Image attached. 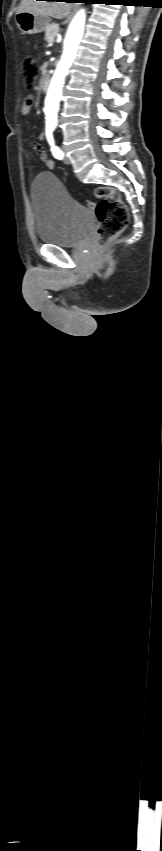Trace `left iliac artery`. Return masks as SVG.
<instances>
[{
  "mask_svg": "<svg viewBox=\"0 0 162 851\" xmlns=\"http://www.w3.org/2000/svg\"><path fill=\"white\" fill-rule=\"evenodd\" d=\"M55 127H56V124H54V123H49V124L46 125V137H47L48 143L51 146L52 154L54 155V157L56 159L61 160L63 158L64 154L60 150V148L55 145L54 138H53V131H54Z\"/></svg>",
  "mask_w": 162,
  "mask_h": 851,
  "instance_id": "left-iliac-artery-1",
  "label": "left iliac artery"
}]
</instances>
